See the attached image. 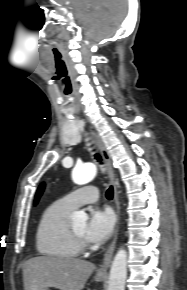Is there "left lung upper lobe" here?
<instances>
[{"mask_svg": "<svg viewBox=\"0 0 187 290\" xmlns=\"http://www.w3.org/2000/svg\"><path fill=\"white\" fill-rule=\"evenodd\" d=\"M43 189H44V184H41L36 194L35 204L38 202V199L41 196Z\"/></svg>", "mask_w": 187, "mask_h": 290, "instance_id": "obj_1", "label": "left lung upper lobe"}]
</instances>
